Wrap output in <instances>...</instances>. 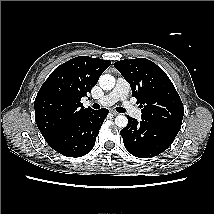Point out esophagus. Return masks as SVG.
<instances>
[{
  "label": "esophagus",
  "instance_id": "34e87169",
  "mask_svg": "<svg viewBox=\"0 0 214 214\" xmlns=\"http://www.w3.org/2000/svg\"><path fill=\"white\" fill-rule=\"evenodd\" d=\"M111 113H112L113 115H115V116H116V115H119V113H118V112L113 111V110L111 111Z\"/></svg>",
  "mask_w": 214,
  "mask_h": 214
}]
</instances>
